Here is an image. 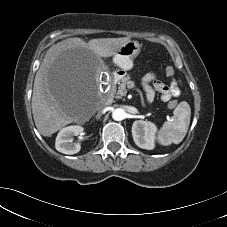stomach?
Returning <instances> with one entry per match:
<instances>
[{"mask_svg":"<svg viewBox=\"0 0 227 227\" xmlns=\"http://www.w3.org/2000/svg\"><path fill=\"white\" fill-rule=\"evenodd\" d=\"M140 53V44L137 41H128L114 55L113 62L124 71L133 67V59Z\"/></svg>","mask_w":227,"mask_h":227,"instance_id":"stomach-1","label":"stomach"}]
</instances>
